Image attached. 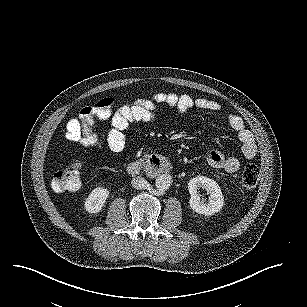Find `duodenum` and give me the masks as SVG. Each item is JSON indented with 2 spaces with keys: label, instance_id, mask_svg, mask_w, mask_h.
<instances>
[{
  "label": "duodenum",
  "instance_id": "1",
  "mask_svg": "<svg viewBox=\"0 0 307 307\" xmlns=\"http://www.w3.org/2000/svg\"><path fill=\"white\" fill-rule=\"evenodd\" d=\"M170 163L163 157L151 155L143 159L133 160L127 164V172L132 176L145 175L150 178L168 172Z\"/></svg>",
  "mask_w": 307,
  "mask_h": 307
}]
</instances>
